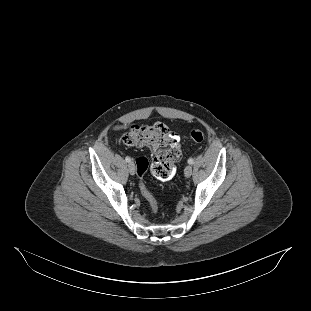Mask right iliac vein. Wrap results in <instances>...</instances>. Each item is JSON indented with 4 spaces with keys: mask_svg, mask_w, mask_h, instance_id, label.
Wrapping results in <instances>:
<instances>
[{
    "mask_svg": "<svg viewBox=\"0 0 311 311\" xmlns=\"http://www.w3.org/2000/svg\"><path fill=\"white\" fill-rule=\"evenodd\" d=\"M128 170H129V173H130L131 175H134V174H135L136 169H135V165H134L133 162H130V163L128 164Z\"/></svg>",
    "mask_w": 311,
    "mask_h": 311,
    "instance_id": "obj_1",
    "label": "right iliac vein"
}]
</instances>
